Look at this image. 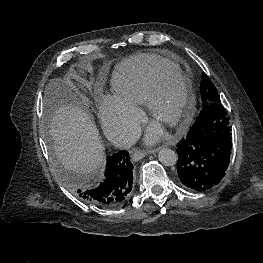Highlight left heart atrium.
<instances>
[{
	"label": "left heart atrium",
	"instance_id": "left-heart-atrium-1",
	"mask_svg": "<svg viewBox=\"0 0 263 263\" xmlns=\"http://www.w3.org/2000/svg\"><path fill=\"white\" fill-rule=\"evenodd\" d=\"M162 135L163 133L158 127L151 126L148 130L147 140L152 143L158 141Z\"/></svg>",
	"mask_w": 263,
	"mask_h": 263
}]
</instances>
